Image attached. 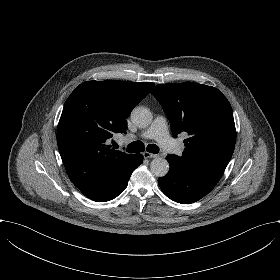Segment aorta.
Instances as JSON below:
<instances>
[{
	"label": "aorta",
	"instance_id": "aorta-1",
	"mask_svg": "<svg viewBox=\"0 0 280 280\" xmlns=\"http://www.w3.org/2000/svg\"><path fill=\"white\" fill-rule=\"evenodd\" d=\"M131 120L137 127L145 128L151 123L152 114L149 109L138 106L131 112ZM150 170L156 177H163L169 171V163L162 157H156L150 164Z\"/></svg>",
	"mask_w": 280,
	"mask_h": 280
}]
</instances>
